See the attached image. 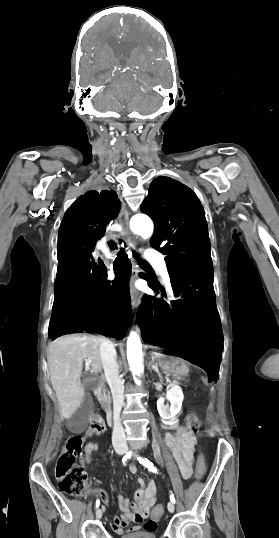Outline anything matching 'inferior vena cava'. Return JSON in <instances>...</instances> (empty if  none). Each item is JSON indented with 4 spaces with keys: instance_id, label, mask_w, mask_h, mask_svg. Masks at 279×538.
Returning a JSON list of instances; mask_svg holds the SVG:
<instances>
[{
    "instance_id": "obj_1",
    "label": "inferior vena cava",
    "mask_w": 279,
    "mask_h": 538,
    "mask_svg": "<svg viewBox=\"0 0 279 538\" xmlns=\"http://www.w3.org/2000/svg\"><path fill=\"white\" fill-rule=\"evenodd\" d=\"M114 342L112 343L108 339H105L103 343L100 345V351L102 356V364L104 367L105 375L107 378V382L109 385H111V392L113 395V401H114V430H113V436H112V443L115 448V451L118 454H124L128 451L127 443H126V436L123 437V434H125L126 429L124 430L120 421V411L121 406L123 405V391L124 381L120 382L118 376V363L115 361L116 358V352L114 348ZM116 345V344H115ZM124 424V422H123ZM125 457V456H124Z\"/></svg>"
}]
</instances>
